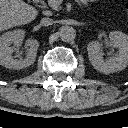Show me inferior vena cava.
Listing matches in <instances>:
<instances>
[{"label": "inferior vena cava", "instance_id": "inferior-vena-cava-1", "mask_svg": "<svg viewBox=\"0 0 128 128\" xmlns=\"http://www.w3.org/2000/svg\"><path fill=\"white\" fill-rule=\"evenodd\" d=\"M53 23H54V20L48 17H44L40 21V25L42 26H49V25H52Z\"/></svg>", "mask_w": 128, "mask_h": 128}]
</instances>
